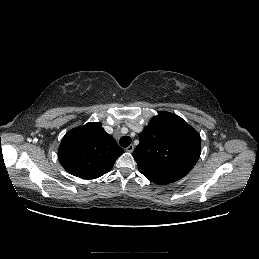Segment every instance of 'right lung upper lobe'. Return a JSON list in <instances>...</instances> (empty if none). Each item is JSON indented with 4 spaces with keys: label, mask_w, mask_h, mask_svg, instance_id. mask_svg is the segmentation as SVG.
I'll use <instances>...</instances> for the list:
<instances>
[{
    "label": "right lung upper lobe",
    "mask_w": 259,
    "mask_h": 259,
    "mask_svg": "<svg viewBox=\"0 0 259 259\" xmlns=\"http://www.w3.org/2000/svg\"><path fill=\"white\" fill-rule=\"evenodd\" d=\"M122 154L123 149L97 122L66 133L59 146L58 159L70 174L95 179L109 172Z\"/></svg>",
    "instance_id": "1"
}]
</instances>
